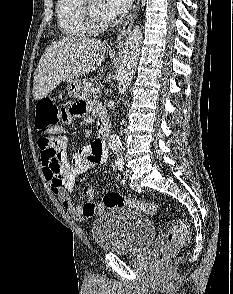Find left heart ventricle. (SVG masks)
Instances as JSON below:
<instances>
[{
  "label": "left heart ventricle",
  "instance_id": "1",
  "mask_svg": "<svg viewBox=\"0 0 233 294\" xmlns=\"http://www.w3.org/2000/svg\"><path fill=\"white\" fill-rule=\"evenodd\" d=\"M90 5L97 15L102 18H108L104 12V0H92Z\"/></svg>",
  "mask_w": 233,
  "mask_h": 294
}]
</instances>
